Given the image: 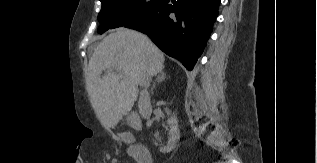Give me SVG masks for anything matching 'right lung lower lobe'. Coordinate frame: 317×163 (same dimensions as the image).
<instances>
[{
  "label": "right lung lower lobe",
  "instance_id": "obj_1",
  "mask_svg": "<svg viewBox=\"0 0 317 163\" xmlns=\"http://www.w3.org/2000/svg\"><path fill=\"white\" fill-rule=\"evenodd\" d=\"M220 0H165L125 27L147 34L166 54L192 70L204 50Z\"/></svg>",
  "mask_w": 317,
  "mask_h": 163
}]
</instances>
